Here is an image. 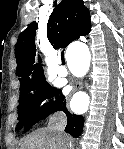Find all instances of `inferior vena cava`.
I'll return each mask as SVG.
<instances>
[{
	"label": "inferior vena cava",
	"instance_id": "inferior-vena-cava-1",
	"mask_svg": "<svg viewBox=\"0 0 124 149\" xmlns=\"http://www.w3.org/2000/svg\"><path fill=\"white\" fill-rule=\"evenodd\" d=\"M67 124V119L65 114L57 113L52 121L51 128L56 133V137L63 139L64 149H69L71 147L72 139H69V136H65L64 129Z\"/></svg>",
	"mask_w": 124,
	"mask_h": 149
}]
</instances>
